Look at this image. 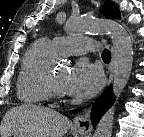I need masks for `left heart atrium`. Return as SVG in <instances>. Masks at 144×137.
<instances>
[{
    "label": "left heart atrium",
    "mask_w": 144,
    "mask_h": 137,
    "mask_svg": "<svg viewBox=\"0 0 144 137\" xmlns=\"http://www.w3.org/2000/svg\"><path fill=\"white\" fill-rule=\"evenodd\" d=\"M102 84L100 69L87 62H79L68 76L64 90L78 99L92 97Z\"/></svg>",
    "instance_id": "39dd6f15"
}]
</instances>
